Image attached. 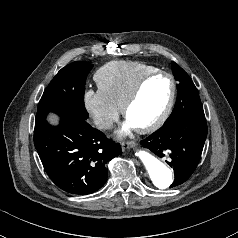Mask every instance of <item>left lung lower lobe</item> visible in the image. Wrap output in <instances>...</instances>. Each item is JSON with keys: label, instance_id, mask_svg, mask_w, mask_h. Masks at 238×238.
<instances>
[{"label": "left lung lower lobe", "instance_id": "left-lung-lower-lobe-1", "mask_svg": "<svg viewBox=\"0 0 238 238\" xmlns=\"http://www.w3.org/2000/svg\"><path fill=\"white\" fill-rule=\"evenodd\" d=\"M207 136L204 116H184L164 124L141 141L144 148L151 150L174 169V182L170 188L184 183L196 169Z\"/></svg>", "mask_w": 238, "mask_h": 238}]
</instances>
